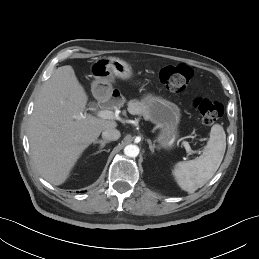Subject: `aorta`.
Masks as SVG:
<instances>
[{
	"instance_id": "aorta-1",
	"label": "aorta",
	"mask_w": 259,
	"mask_h": 259,
	"mask_svg": "<svg viewBox=\"0 0 259 259\" xmlns=\"http://www.w3.org/2000/svg\"><path fill=\"white\" fill-rule=\"evenodd\" d=\"M124 154L128 157H136L139 154V148L136 145H127L124 148Z\"/></svg>"
}]
</instances>
